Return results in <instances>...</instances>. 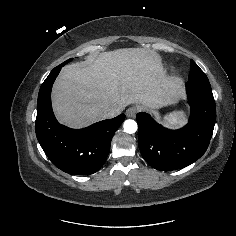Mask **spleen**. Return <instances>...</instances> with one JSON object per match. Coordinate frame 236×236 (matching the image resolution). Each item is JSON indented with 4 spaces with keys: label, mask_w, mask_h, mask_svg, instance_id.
<instances>
[{
    "label": "spleen",
    "mask_w": 236,
    "mask_h": 236,
    "mask_svg": "<svg viewBox=\"0 0 236 236\" xmlns=\"http://www.w3.org/2000/svg\"><path fill=\"white\" fill-rule=\"evenodd\" d=\"M185 117L184 111L172 112L168 116L165 117V124L167 126L179 125L183 122Z\"/></svg>",
    "instance_id": "1"
}]
</instances>
